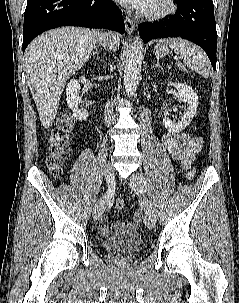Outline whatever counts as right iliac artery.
Instances as JSON below:
<instances>
[{
    "label": "right iliac artery",
    "instance_id": "right-iliac-artery-1",
    "mask_svg": "<svg viewBox=\"0 0 239 303\" xmlns=\"http://www.w3.org/2000/svg\"><path fill=\"white\" fill-rule=\"evenodd\" d=\"M110 176H114L115 175V172L114 171H110L109 173H108ZM110 180V179H109ZM110 185H108V189H107V192H106V194H105V196L103 197V199H110L112 196H113V194H114V192H115V180L114 179H111L110 180Z\"/></svg>",
    "mask_w": 239,
    "mask_h": 303
}]
</instances>
